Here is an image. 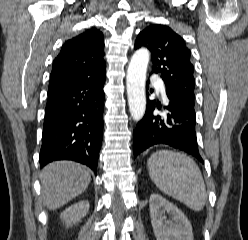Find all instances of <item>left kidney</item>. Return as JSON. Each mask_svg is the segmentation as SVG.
I'll use <instances>...</instances> for the list:
<instances>
[{"instance_id": "1", "label": "left kidney", "mask_w": 248, "mask_h": 240, "mask_svg": "<svg viewBox=\"0 0 248 240\" xmlns=\"http://www.w3.org/2000/svg\"><path fill=\"white\" fill-rule=\"evenodd\" d=\"M149 207L157 240H194L190 221L174 204L158 194H152Z\"/></svg>"}]
</instances>
